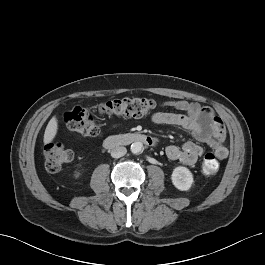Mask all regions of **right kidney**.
<instances>
[{
  "instance_id": "obj_1",
  "label": "right kidney",
  "mask_w": 265,
  "mask_h": 265,
  "mask_svg": "<svg viewBox=\"0 0 265 265\" xmlns=\"http://www.w3.org/2000/svg\"><path fill=\"white\" fill-rule=\"evenodd\" d=\"M79 175H80V173L79 172H75V174H74V176L77 178V177H79Z\"/></svg>"
}]
</instances>
